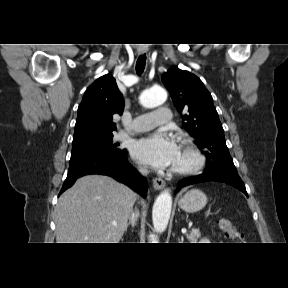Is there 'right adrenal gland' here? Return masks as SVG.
Wrapping results in <instances>:
<instances>
[{"label":"right adrenal gland","instance_id":"right-adrenal-gland-1","mask_svg":"<svg viewBox=\"0 0 288 288\" xmlns=\"http://www.w3.org/2000/svg\"><path fill=\"white\" fill-rule=\"evenodd\" d=\"M139 219V211L135 209L134 213H132L131 217L129 218V222L126 225L125 231H127V228L131 225L132 227H135L137 221Z\"/></svg>","mask_w":288,"mask_h":288}]
</instances>
